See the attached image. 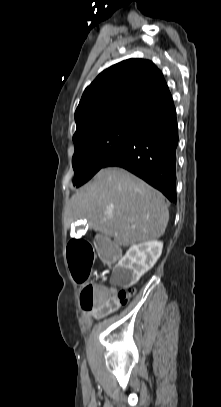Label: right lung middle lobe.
<instances>
[{
    "label": "right lung middle lobe",
    "mask_w": 221,
    "mask_h": 407,
    "mask_svg": "<svg viewBox=\"0 0 221 407\" xmlns=\"http://www.w3.org/2000/svg\"><path fill=\"white\" fill-rule=\"evenodd\" d=\"M137 124L122 123L92 131L74 141L73 184L86 183L130 137Z\"/></svg>",
    "instance_id": "right-lung-middle-lobe-1"
}]
</instances>
